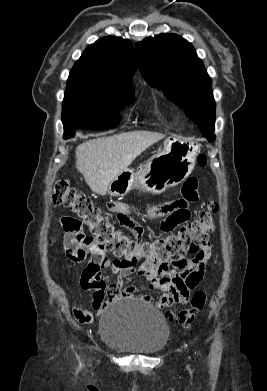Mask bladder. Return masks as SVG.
<instances>
[{"mask_svg": "<svg viewBox=\"0 0 267 391\" xmlns=\"http://www.w3.org/2000/svg\"><path fill=\"white\" fill-rule=\"evenodd\" d=\"M104 344L124 353L155 354L169 339V327L157 309L131 299L112 303L99 326Z\"/></svg>", "mask_w": 267, "mask_h": 391, "instance_id": "bladder-1", "label": "bladder"}]
</instances>
